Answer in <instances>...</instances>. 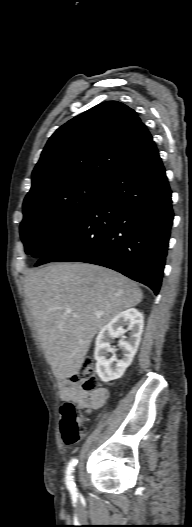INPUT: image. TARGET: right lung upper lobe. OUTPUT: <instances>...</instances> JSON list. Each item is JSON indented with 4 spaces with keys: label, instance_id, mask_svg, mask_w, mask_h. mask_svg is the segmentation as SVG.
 <instances>
[{
    "label": "right lung upper lobe",
    "instance_id": "1",
    "mask_svg": "<svg viewBox=\"0 0 192 527\" xmlns=\"http://www.w3.org/2000/svg\"><path fill=\"white\" fill-rule=\"evenodd\" d=\"M137 113L103 102L69 120L48 140L24 201L84 180L108 182L152 142Z\"/></svg>",
    "mask_w": 192,
    "mask_h": 527
}]
</instances>
